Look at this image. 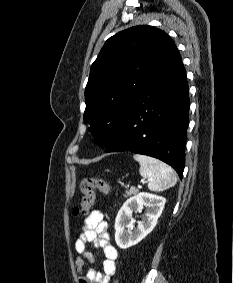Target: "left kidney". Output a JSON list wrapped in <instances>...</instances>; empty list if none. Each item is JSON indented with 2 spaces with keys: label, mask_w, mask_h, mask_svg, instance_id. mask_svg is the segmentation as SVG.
Returning a JSON list of instances; mask_svg holds the SVG:
<instances>
[{
  "label": "left kidney",
  "mask_w": 233,
  "mask_h": 283,
  "mask_svg": "<svg viewBox=\"0 0 233 283\" xmlns=\"http://www.w3.org/2000/svg\"><path fill=\"white\" fill-rule=\"evenodd\" d=\"M166 199L146 192L128 199L119 210L115 220V241L119 248L127 249L139 243L156 226L162 214ZM147 207L145 217L138 222L137 229L133 230V212H139Z\"/></svg>",
  "instance_id": "obj_1"
}]
</instances>
